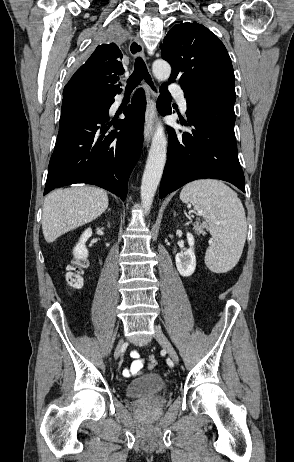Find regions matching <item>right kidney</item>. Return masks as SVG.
Returning <instances> with one entry per match:
<instances>
[{
    "label": "right kidney",
    "mask_w": 294,
    "mask_h": 462,
    "mask_svg": "<svg viewBox=\"0 0 294 462\" xmlns=\"http://www.w3.org/2000/svg\"><path fill=\"white\" fill-rule=\"evenodd\" d=\"M92 236L91 228H88L83 232L79 242L73 249V255L77 260L86 259L88 257V250L85 246L86 241Z\"/></svg>",
    "instance_id": "1"
}]
</instances>
